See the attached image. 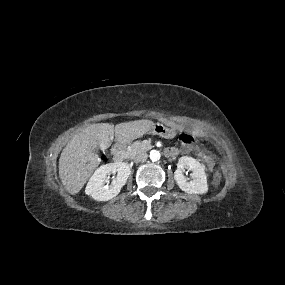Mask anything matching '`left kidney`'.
Segmentation results:
<instances>
[{
	"mask_svg": "<svg viewBox=\"0 0 285 285\" xmlns=\"http://www.w3.org/2000/svg\"><path fill=\"white\" fill-rule=\"evenodd\" d=\"M185 169L192 171V180L184 176ZM174 179L179 188L189 194H204L208 191L207 177L204 167L194 158L183 156L178 160Z\"/></svg>",
	"mask_w": 285,
	"mask_h": 285,
	"instance_id": "1",
	"label": "left kidney"
}]
</instances>
